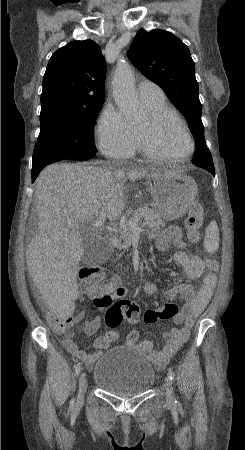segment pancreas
<instances>
[{"label":"pancreas","mask_w":245,"mask_h":450,"mask_svg":"<svg viewBox=\"0 0 245 450\" xmlns=\"http://www.w3.org/2000/svg\"><path fill=\"white\" fill-rule=\"evenodd\" d=\"M137 218L139 219L138 225H141L142 227L147 226L149 228H160V226H165V223L161 220L158 211L150 208L148 205L141 206L138 210H136L130 220ZM120 233V240H122L123 242H120L119 248H129L132 239V232L130 226L128 225V222L125 223Z\"/></svg>","instance_id":"pancreas-1"}]
</instances>
